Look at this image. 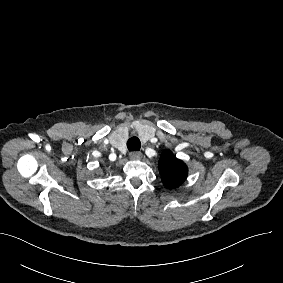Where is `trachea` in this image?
Segmentation results:
<instances>
[{
	"label": "trachea",
	"instance_id": "3493384b",
	"mask_svg": "<svg viewBox=\"0 0 283 283\" xmlns=\"http://www.w3.org/2000/svg\"><path fill=\"white\" fill-rule=\"evenodd\" d=\"M141 147V143L139 138L137 137H131L128 141H127V148L130 152H134V151H139Z\"/></svg>",
	"mask_w": 283,
	"mask_h": 283
}]
</instances>
